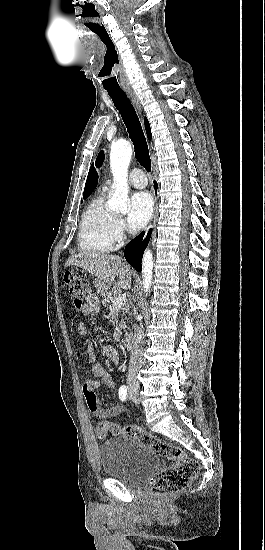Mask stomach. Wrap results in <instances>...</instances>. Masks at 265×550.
<instances>
[{
  "mask_svg": "<svg viewBox=\"0 0 265 550\" xmlns=\"http://www.w3.org/2000/svg\"><path fill=\"white\" fill-rule=\"evenodd\" d=\"M100 291H101L102 293L106 292L105 290H103V288H101V290H100Z\"/></svg>",
  "mask_w": 265,
  "mask_h": 550,
  "instance_id": "1",
  "label": "stomach"
}]
</instances>
